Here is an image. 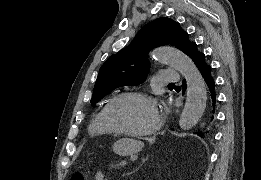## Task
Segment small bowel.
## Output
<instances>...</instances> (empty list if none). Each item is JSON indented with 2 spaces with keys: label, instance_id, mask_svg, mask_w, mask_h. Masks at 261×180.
Masks as SVG:
<instances>
[{
  "label": "small bowel",
  "instance_id": "obj_1",
  "mask_svg": "<svg viewBox=\"0 0 261 180\" xmlns=\"http://www.w3.org/2000/svg\"><path fill=\"white\" fill-rule=\"evenodd\" d=\"M96 178H97L98 180H102V179H103V175H102L101 173H97V174H96Z\"/></svg>",
  "mask_w": 261,
  "mask_h": 180
}]
</instances>
